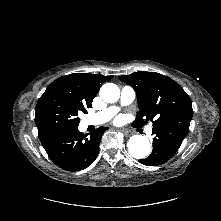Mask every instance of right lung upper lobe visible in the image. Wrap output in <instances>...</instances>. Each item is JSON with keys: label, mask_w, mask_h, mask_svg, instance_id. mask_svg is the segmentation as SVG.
<instances>
[{"label": "right lung upper lobe", "mask_w": 221, "mask_h": 221, "mask_svg": "<svg viewBox=\"0 0 221 221\" xmlns=\"http://www.w3.org/2000/svg\"><path fill=\"white\" fill-rule=\"evenodd\" d=\"M113 78L90 73H72L53 81L44 93L60 91L89 108L101 85ZM43 93V94H44Z\"/></svg>", "instance_id": "1"}]
</instances>
